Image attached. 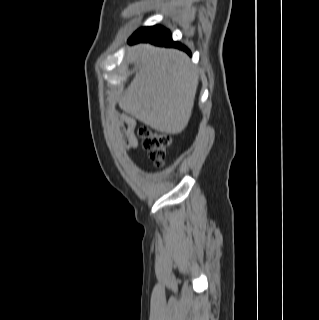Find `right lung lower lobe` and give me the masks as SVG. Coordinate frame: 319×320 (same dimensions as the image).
Listing matches in <instances>:
<instances>
[{
	"label": "right lung lower lobe",
	"mask_w": 319,
	"mask_h": 320,
	"mask_svg": "<svg viewBox=\"0 0 319 320\" xmlns=\"http://www.w3.org/2000/svg\"><path fill=\"white\" fill-rule=\"evenodd\" d=\"M129 43L150 42L155 45L177 47L185 50L190 54V51L178 42H173L171 34L161 26L144 27L136 31L128 40Z\"/></svg>",
	"instance_id": "right-lung-lower-lobe-1"
}]
</instances>
